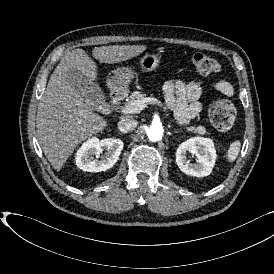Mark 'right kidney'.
<instances>
[{
  "label": "right kidney",
  "mask_w": 274,
  "mask_h": 274,
  "mask_svg": "<svg viewBox=\"0 0 274 274\" xmlns=\"http://www.w3.org/2000/svg\"><path fill=\"white\" fill-rule=\"evenodd\" d=\"M123 142L117 138L91 139L76 154V165L85 172L98 173L112 168L119 160ZM105 151L102 156L100 153Z\"/></svg>",
  "instance_id": "right-kidney-1"
}]
</instances>
